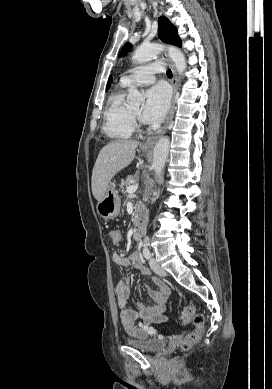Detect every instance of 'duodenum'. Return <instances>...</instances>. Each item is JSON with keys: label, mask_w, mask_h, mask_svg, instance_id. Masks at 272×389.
Returning <instances> with one entry per match:
<instances>
[{"label": "duodenum", "mask_w": 272, "mask_h": 389, "mask_svg": "<svg viewBox=\"0 0 272 389\" xmlns=\"http://www.w3.org/2000/svg\"><path fill=\"white\" fill-rule=\"evenodd\" d=\"M145 227V216L143 211L139 208L136 211L135 218H134V231H133V238L138 241L141 239Z\"/></svg>", "instance_id": "410a0bca"}]
</instances>
